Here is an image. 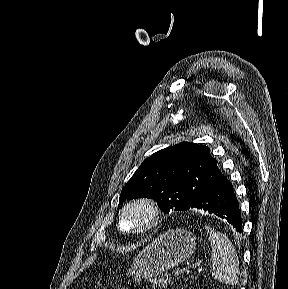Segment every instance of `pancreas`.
<instances>
[{"mask_svg":"<svg viewBox=\"0 0 288 289\" xmlns=\"http://www.w3.org/2000/svg\"><path fill=\"white\" fill-rule=\"evenodd\" d=\"M169 284V278L167 274L162 275L159 279H155L152 282V289H162Z\"/></svg>","mask_w":288,"mask_h":289,"instance_id":"cf45deb5","label":"pancreas"}]
</instances>
